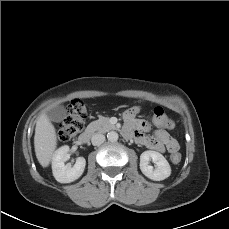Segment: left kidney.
Here are the masks:
<instances>
[{
  "label": "left kidney",
  "instance_id": "1",
  "mask_svg": "<svg viewBox=\"0 0 229 229\" xmlns=\"http://www.w3.org/2000/svg\"><path fill=\"white\" fill-rule=\"evenodd\" d=\"M152 160L156 166L149 165ZM140 169L142 173L151 180L161 181L168 178L171 174V167L165 157L156 151H145L140 156Z\"/></svg>",
  "mask_w": 229,
  "mask_h": 229
}]
</instances>
